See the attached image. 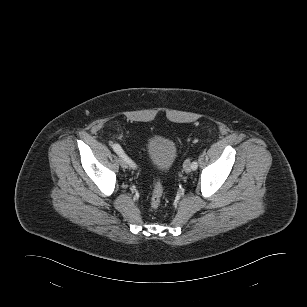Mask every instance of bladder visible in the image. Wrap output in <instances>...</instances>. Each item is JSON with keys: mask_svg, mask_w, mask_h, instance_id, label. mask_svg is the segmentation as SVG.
<instances>
[{"mask_svg": "<svg viewBox=\"0 0 307 307\" xmlns=\"http://www.w3.org/2000/svg\"><path fill=\"white\" fill-rule=\"evenodd\" d=\"M146 154L150 164L161 172H167L177 157L175 143L163 136H153L146 143Z\"/></svg>", "mask_w": 307, "mask_h": 307, "instance_id": "1", "label": "bladder"}]
</instances>
